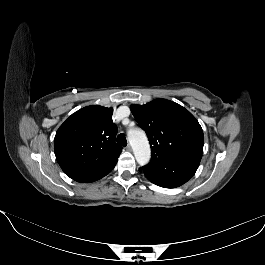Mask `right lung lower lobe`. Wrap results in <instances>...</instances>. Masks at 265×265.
<instances>
[{
  "instance_id": "98d812e1",
  "label": "right lung lower lobe",
  "mask_w": 265,
  "mask_h": 265,
  "mask_svg": "<svg viewBox=\"0 0 265 265\" xmlns=\"http://www.w3.org/2000/svg\"><path fill=\"white\" fill-rule=\"evenodd\" d=\"M107 174H100V173H86V174H74L70 175L69 177L73 180L81 183H88L96 181L102 177H104Z\"/></svg>"
}]
</instances>
